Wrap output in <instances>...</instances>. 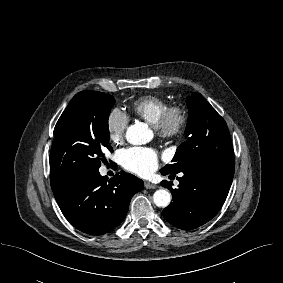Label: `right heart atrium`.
Segmentation results:
<instances>
[{"label":"right heart atrium","mask_w":283,"mask_h":283,"mask_svg":"<svg viewBox=\"0 0 283 283\" xmlns=\"http://www.w3.org/2000/svg\"><path fill=\"white\" fill-rule=\"evenodd\" d=\"M129 119L125 113L119 109H113L107 118L106 127L109 139L113 143L122 142Z\"/></svg>","instance_id":"d8ad5b80"}]
</instances>
